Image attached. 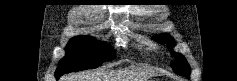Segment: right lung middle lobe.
Returning <instances> with one entry per match:
<instances>
[{
  "instance_id": "dd1d6c3e",
  "label": "right lung middle lobe",
  "mask_w": 237,
  "mask_h": 81,
  "mask_svg": "<svg viewBox=\"0 0 237 81\" xmlns=\"http://www.w3.org/2000/svg\"><path fill=\"white\" fill-rule=\"evenodd\" d=\"M114 57L115 54L109 45L95 43L91 37H74L67 44L66 56L60 61L55 75L94 69Z\"/></svg>"
}]
</instances>
